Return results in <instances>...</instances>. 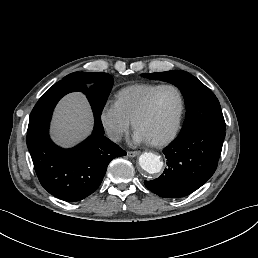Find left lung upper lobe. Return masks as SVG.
Listing matches in <instances>:
<instances>
[{
  "mask_svg": "<svg viewBox=\"0 0 258 258\" xmlns=\"http://www.w3.org/2000/svg\"><path fill=\"white\" fill-rule=\"evenodd\" d=\"M141 76L166 81L178 87L185 99L186 119L178 138L203 127L226 129L218 99L214 93L196 77L183 70L159 73H144Z\"/></svg>",
  "mask_w": 258,
  "mask_h": 258,
  "instance_id": "obj_1",
  "label": "left lung upper lobe"
}]
</instances>
